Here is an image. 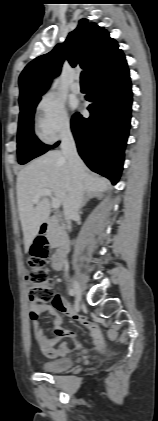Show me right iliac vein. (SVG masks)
Returning a JSON list of instances; mask_svg holds the SVG:
<instances>
[{"label": "right iliac vein", "mask_w": 158, "mask_h": 421, "mask_svg": "<svg viewBox=\"0 0 158 421\" xmlns=\"http://www.w3.org/2000/svg\"><path fill=\"white\" fill-rule=\"evenodd\" d=\"M72 287H73V290H74L75 295L77 296V298L79 300H81L82 299V290H81V287H80L79 283L74 278L72 279Z\"/></svg>", "instance_id": "1"}]
</instances>
